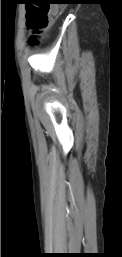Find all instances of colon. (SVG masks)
<instances>
[{"label": "colon", "instance_id": "1", "mask_svg": "<svg viewBox=\"0 0 122 257\" xmlns=\"http://www.w3.org/2000/svg\"><path fill=\"white\" fill-rule=\"evenodd\" d=\"M51 21L48 5H30L27 10V27L31 33V42L38 43L42 33Z\"/></svg>", "mask_w": 122, "mask_h": 257}]
</instances>
